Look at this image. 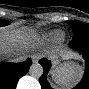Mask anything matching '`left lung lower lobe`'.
<instances>
[{
  "label": "left lung lower lobe",
  "mask_w": 89,
  "mask_h": 89,
  "mask_svg": "<svg viewBox=\"0 0 89 89\" xmlns=\"http://www.w3.org/2000/svg\"><path fill=\"white\" fill-rule=\"evenodd\" d=\"M70 46L83 52L87 61L84 78L74 89H89V34L80 33L75 35L70 43ZM39 63L43 66V75L39 79L41 88L50 89V85L46 80V75L50 69L51 62L46 58H43L39 61Z\"/></svg>",
  "instance_id": "left-lung-lower-lobe-1"
}]
</instances>
